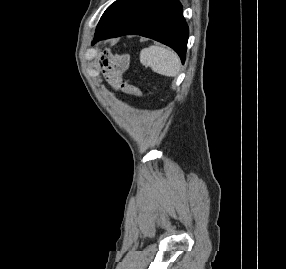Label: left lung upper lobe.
<instances>
[{"label":"left lung upper lobe","instance_id":"left-lung-upper-lobe-1","mask_svg":"<svg viewBox=\"0 0 286 269\" xmlns=\"http://www.w3.org/2000/svg\"><path fill=\"white\" fill-rule=\"evenodd\" d=\"M143 0H117L111 4L102 15L96 33L108 29L119 22L125 15L136 8ZM95 33V34H96Z\"/></svg>","mask_w":286,"mask_h":269}]
</instances>
